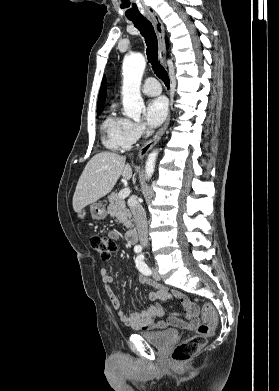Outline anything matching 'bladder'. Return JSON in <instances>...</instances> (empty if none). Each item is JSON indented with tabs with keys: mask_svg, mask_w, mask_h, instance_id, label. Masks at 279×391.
I'll return each mask as SVG.
<instances>
[{
	"mask_svg": "<svg viewBox=\"0 0 279 391\" xmlns=\"http://www.w3.org/2000/svg\"><path fill=\"white\" fill-rule=\"evenodd\" d=\"M140 336L157 348H166L178 339L179 332L176 330L151 331L142 332Z\"/></svg>",
	"mask_w": 279,
	"mask_h": 391,
	"instance_id": "obj_1",
	"label": "bladder"
}]
</instances>
